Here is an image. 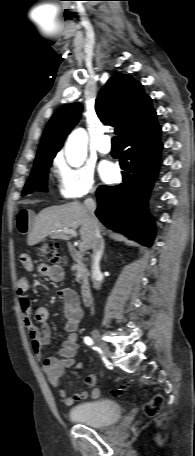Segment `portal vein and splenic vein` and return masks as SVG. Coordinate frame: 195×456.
<instances>
[{
  "mask_svg": "<svg viewBox=\"0 0 195 456\" xmlns=\"http://www.w3.org/2000/svg\"><path fill=\"white\" fill-rule=\"evenodd\" d=\"M65 232H66L67 234H70V235L74 236V237L77 236V233H76V231H75L74 229H65ZM79 250H80L81 252L86 251V250H87V245H86L85 243L81 242V243L79 244Z\"/></svg>",
  "mask_w": 195,
  "mask_h": 456,
  "instance_id": "portal-vein-and-splenic-vein-1",
  "label": "portal vein and splenic vein"
}]
</instances>
